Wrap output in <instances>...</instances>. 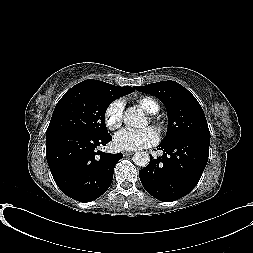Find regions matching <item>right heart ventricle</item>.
<instances>
[{
  "label": "right heart ventricle",
  "mask_w": 253,
  "mask_h": 253,
  "mask_svg": "<svg viewBox=\"0 0 253 253\" xmlns=\"http://www.w3.org/2000/svg\"><path fill=\"white\" fill-rule=\"evenodd\" d=\"M135 103L145 113L150 114V115H154L158 113L160 109L158 102L149 96H142L136 99Z\"/></svg>",
  "instance_id": "obj_1"
}]
</instances>
